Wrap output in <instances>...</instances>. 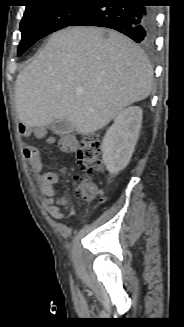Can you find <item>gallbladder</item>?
Here are the masks:
<instances>
[{"instance_id": "obj_1", "label": "gallbladder", "mask_w": 184, "mask_h": 327, "mask_svg": "<svg viewBox=\"0 0 184 327\" xmlns=\"http://www.w3.org/2000/svg\"><path fill=\"white\" fill-rule=\"evenodd\" d=\"M51 129L55 134L64 135L73 131L74 125L67 119H60L51 125Z\"/></svg>"}]
</instances>
